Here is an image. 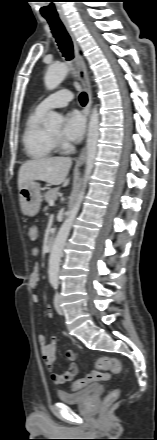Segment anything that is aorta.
<instances>
[{"instance_id":"obj_1","label":"aorta","mask_w":157,"mask_h":440,"mask_svg":"<svg viewBox=\"0 0 157 440\" xmlns=\"http://www.w3.org/2000/svg\"><path fill=\"white\" fill-rule=\"evenodd\" d=\"M69 66L65 63L50 65L46 71L44 82L48 90H54L65 79L69 72ZM63 117L51 111L48 115V125L50 128L57 129L61 127ZM99 138V113L96 107L92 110L90 121L88 124V133L86 140L87 156L86 169L82 180V187L78 194L77 201L68 212L67 218L60 227L55 238L53 247L49 257V280L56 282L58 280L60 261L63 254V248L69 236L72 224L78 214L81 203L84 198L85 189L92 173L95 158L97 154V142Z\"/></svg>"}]
</instances>
